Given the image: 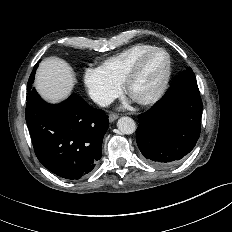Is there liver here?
Instances as JSON below:
<instances>
[{"label":"liver","instance_id":"6515ba94","mask_svg":"<svg viewBox=\"0 0 232 232\" xmlns=\"http://www.w3.org/2000/svg\"><path fill=\"white\" fill-rule=\"evenodd\" d=\"M74 85L75 75L66 61L58 57H49L40 63L35 87L47 101H62L69 96Z\"/></svg>","mask_w":232,"mask_h":232}]
</instances>
